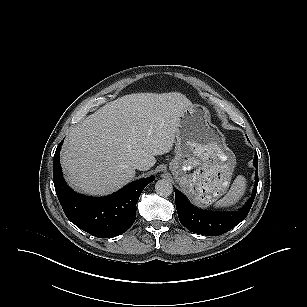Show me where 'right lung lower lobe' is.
Instances as JSON below:
<instances>
[{
  "label": "right lung lower lobe",
  "mask_w": 307,
  "mask_h": 307,
  "mask_svg": "<svg viewBox=\"0 0 307 307\" xmlns=\"http://www.w3.org/2000/svg\"><path fill=\"white\" fill-rule=\"evenodd\" d=\"M62 143L54 155L53 180L66 217L80 229L99 238H110L126 232L135 222V208L140 194L154 177L139 179L107 197L80 195L68 187L63 179L59 161Z\"/></svg>",
  "instance_id": "right-lung-lower-lobe-1"
}]
</instances>
